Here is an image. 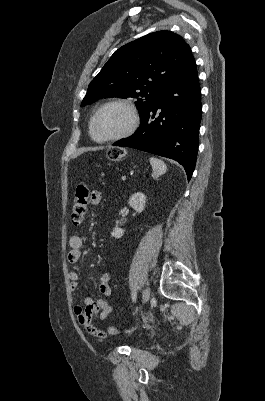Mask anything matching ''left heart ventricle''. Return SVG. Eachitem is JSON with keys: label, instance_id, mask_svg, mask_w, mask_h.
Instances as JSON below:
<instances>
[{"label": "left heart ventricle", "instance_id": "obj_1", "mask_svg": "<svg viewBox=\"0 0 265 401\" xmlns=\"http://www.w3.org/2000/svg\"><path fill=\"white\" fill-rule=\"evenodd\" d=\"M128 119L129 114L123 107H108L99 114L94 123V136L98 139L115 136L127 125Z\"/></svg>", "mask_w": 265, "mask_h": 401}]
</instances>
